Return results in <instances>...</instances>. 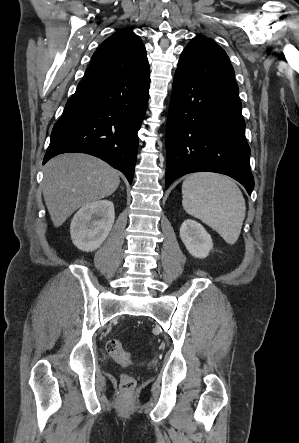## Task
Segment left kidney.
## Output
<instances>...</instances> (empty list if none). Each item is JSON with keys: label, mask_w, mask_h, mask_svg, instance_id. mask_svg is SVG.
<instances>
[{"label": "left kidney", "mask_w": 299, "mask_h": 443, "mask_svg": "<svg viewBox=\"0 0 299 443\" xmlns=\"http://www.w3.org/2000/svg\"><path fill=\"white\" fill-rule=\"evenodd\" d=\"M180 238L188 252L196 258H205L213 249L211 236L198 222L187 219L180 227Z\"/></svg>", "instance_id": "1"}]
</instances>
